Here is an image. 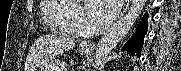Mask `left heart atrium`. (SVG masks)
<instances>
[{"label": "left heart atrium", "mask_w": 181, "mask_h": 71, "mask_svg": "<svg viewBox=\"0 0 181 71\" xmlns=\"http://www.w3.org/2000/svg\"><path fill=\"white\" fill-rule=\"evenodd\" d=\"M119 0L92 1L87 6V12L91 20L98 24L110 23L120 10Z\"/></svg>", "instance_id": "obj_1"}]
</instances>
